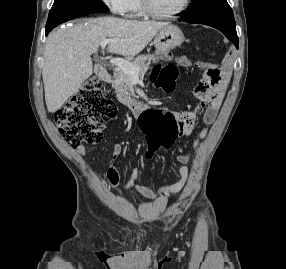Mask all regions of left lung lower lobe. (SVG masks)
Here are the masks:
<instances>
[{"mask_svg":"<svg viewBox=\"0 0 286 269\" xmlns=\"http://www.w3.org/2000/svg\"><path fill=\"white\" fill-rule=\"evenodd\" d=\"M179 21H184L179 19ZM188 23H201L211 27H214L220 30L231 42L234 43L236 48H238V36L236 32V25L222 23V22H214V21H201V22H188Z\"/></svg>","mask_w":286,"mask_h":269,"instance_id":"obj_1","label":"left lung lower lobe"}]
</instances>
